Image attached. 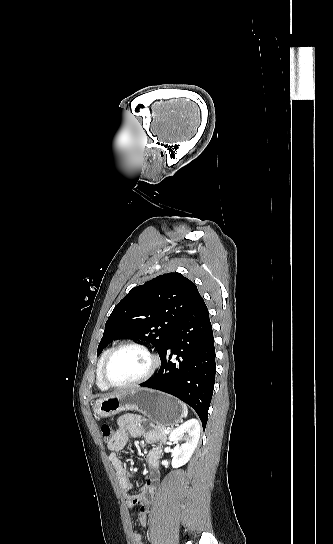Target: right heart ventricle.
<instances>
[{
    "mask_svg": "<svg viewBox=\"0 0 333 544\" xmlns=\"http://www.w3.org/2000/svg\"><path fill=\"white\" fill-rule=\"evenodd\" d=\"M110 351H111V348L106 349V350L102 353V355H101V357H100V359H99V361H98V364H97V378H96V382H97L98 387H99L101 390H107V389L109 388V387L106 386V385L104 384V382L102 381V378H101V368H102V365H103V362H104L106 356L108 355V353H109Z\"/></svg>",
    "mask_w": 333,
    "mask_h": 544,
    "instance_id": "right-heart-ventricle-1",
    "label": "right heart ventricle"
}]
</instances>
